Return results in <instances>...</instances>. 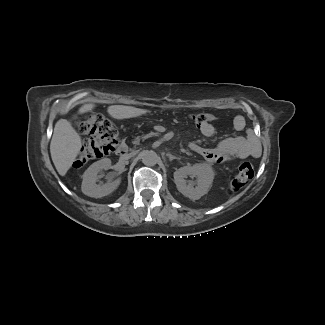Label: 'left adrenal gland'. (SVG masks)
I'll list each match as a JSON object with an SVG mask.
<instances>
[{
	"instance_id": "obj_1",
	"label": "left adrenal gland",
	"mask_w": 325,
	"mask_h": 325,
	"mask_svg": "<svg viewBox=\"0 0 325 325\" xmlns=\"http://www.w3.org/2000/svg\"><path fill=\"white\" fill-rule=\"evenodd\" d=\"M166 155L169 157V160H170V161H172V160H174V159H180L179 157L173 156V155L170 154V153H167Z\"/></svg>"
}]
</instances>
